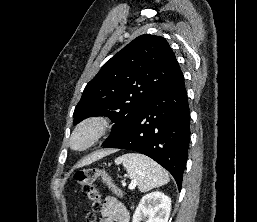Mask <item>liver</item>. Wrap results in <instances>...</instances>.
<instances>
[{"mask_svg": "<svg viewBox=\"0 0 257 222\" xmlns=\"http://www.w3.org/2000/svg\"><path fill=\"white\" fill-rule=\"evenodd\" d=\"M110 153H111L110 150L101 151V152L95 153V154H93V155H91V156H88V157H86L85 159H83V160L81 161V163H79V166L87 165V164H89V163H91V162H93V161H96L97 159H99V158H101V157H103V156H105V155H107V154H110Z\"/></svg>", "mask_w": 257, "mask_h": 222, "instance_id": "1", "label": "liver"}]
</instances>
